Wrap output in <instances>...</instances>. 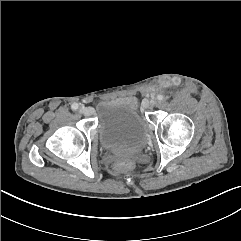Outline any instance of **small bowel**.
Listing matches in <instances>:
<instances>
[{
	"label": "small bowel",
	"mask_w": 241,
	"mask_h": 241,
	"mask_svg": "<svg viewBox=\"0 0 241 241\" xmlns=\"http://www.w3.org/2000/svg\"><path fill=\"white\" fill-rule=\"evenodd\" d=\"M124 102L127 104L134 105L136 103V100L133 97H127V98H124Z\"/></svg>",
	"instance_id": "small-bowel-1"
}]
</instances>
